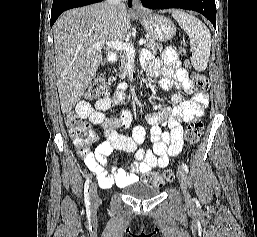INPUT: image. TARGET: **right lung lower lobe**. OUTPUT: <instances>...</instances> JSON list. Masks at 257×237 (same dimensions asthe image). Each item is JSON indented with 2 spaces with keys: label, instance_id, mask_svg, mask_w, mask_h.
<instances>
[{
  "label": "right lung lower lobe",
  "instance_id": "obj_1",
  "mask_svg": "<svg viewBox=\"0 0 257 237\" xmlns=\"http://www.w3.org/2000/svg\"><path fill=\"white\" fill-rule=\"evenodd\" d=\"M101 1L103 0H53L50 21L51 27L62 12L71 8L81 7ZM128 6H132L131 0L128 1Z\"/></svg>",
  "mask_w": 257,
  "mask_h": 237
}]
</instances>
